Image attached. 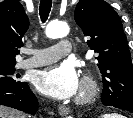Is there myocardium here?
Instances as JSON below:
<instances>
[{"instance_id": "f54148a6", "label": "myocardium", "mask_w": 133, "mask_h": 118, "mask_svg": "<svg viewBox=\"0 0 133 118\" xmlns=\"http://www.w3.org/2000/svg\"><path fill=\"white\" fill-rule=\"evenodd\" d=\"M98 93V85L96 81L90 77L85 76L81 85L79 95L77 96V102L80 104H87L94 100Z\"/></svg>"}]
</instances>
